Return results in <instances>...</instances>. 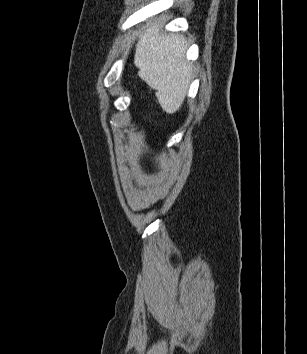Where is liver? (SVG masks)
<instances>
[{
	"label": "liver",
	"instance_id": "obj_1",
	"mask_svg": "<svg viewBox=\"0 0 307 354\" xmlns=\"http://www.w3.org/2000/svg\"><path fill=\"white\" fill-rule=\"evenodd\" d=\"M162 23L152 24L140 35L134 64L138 75L152 89L162 109L173 114L181 107L190 81L192 66L185 59L187 41L179 34L161 31Z\"/></svg>",
	"mask_w": 307,
	"mask_h": 354
}]
</instances>
